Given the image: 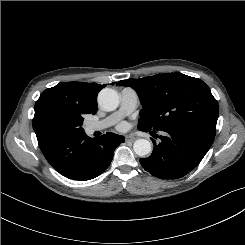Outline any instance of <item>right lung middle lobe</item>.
Masks as SVG:
<instances>
[{
    "mask_svg": "<svg viewBox=\"0 0 245 245\" xmlns=\"http://www.w3.org/2000/svg\"><path fill=\"white\" fill-rule=\"evenodd\" d=\"M83 115L84 113L58 98H48L35 107L34 117L42 130L57 139H62L84 133Z\"/></svg>",
    "mask_w": 245,
    "mask_h": 245,
    "instance_id": "1",
    "label": "right lung middle lobe"
}]
</instances>
